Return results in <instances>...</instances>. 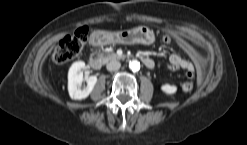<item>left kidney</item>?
Segmentation results:
<instances>
[{
	"instance_id": "1",
	"label": "left kidney",
	"mask_w": 247,
	"mask_h": 145,
	"mask_svg": "<svg viewBox=\"0 0 247 145\" xmlns=\"http://www.w3.org/2000/svg\"><path fill=\"white\" fill-rule=\"evenodd\" d=\"M161 90L166 94H174L177 91V87L175 85L164 84L161 86Z\"/></svg>"
}]
</instances>
